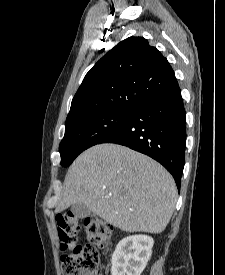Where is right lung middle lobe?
Listing matches in <instances>:
<instances>
[{
	"mask_svg": "<svg viewBox=\"0 0 225 275\" xmlns=\"http://www.w3.org/2000/svg\"><path fill=\"white\" fill-rule=\"evenodd\" d=\"M130 113V110L102 112L66 124L59 146L61 165L69 166L81 152L98 144L117 128Z\"/></svg>",
	"mask_w": 225,
	"mask_h": 275,
	"instance_id": "1",
	"label": "right lung middle lobe"
}]
</instances>
